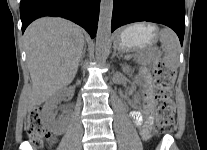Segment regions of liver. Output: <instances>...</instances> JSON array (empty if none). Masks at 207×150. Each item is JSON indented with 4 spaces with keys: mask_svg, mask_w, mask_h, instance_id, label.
<instances>
[{
    "mask_svg": "<svg viewBox=\"0 0 207 150\" xmlns=\"http://www.w3.org/2000/svg\"><path fill=\"white\" fill-rule=\"evenodd\" d=\"M24 39L32 80L28 110L32 111L73 81L84 36L83 30L68 20L45 17L28 26Z\"/></svg>",
    "mask_w": 207,
    "mask_h": 150,
    "instance_id": "1",
    "label": "liver"
}]
</instances>
